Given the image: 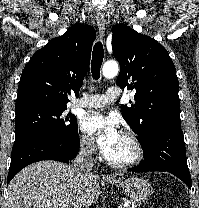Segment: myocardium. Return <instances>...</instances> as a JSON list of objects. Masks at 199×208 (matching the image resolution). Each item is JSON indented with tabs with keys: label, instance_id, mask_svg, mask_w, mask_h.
<instances>
[{
	"label": "myocardium",
	"instance_id": "f54148a6",
	"mask_svg": "<svg viewBox=\"0 0 199 208\" xmlns=\"http://www.w3.org/2000/svg\"><path fill=\"white\" fill-rule=\"evenodd\" d=\"M123 136L127 138V140L134 146L135 155L132 159L125 160V161H118L109 158L108 156L104 155L105 162L115 168L126 169L131 168L138 165L144 158L145 150L141 140L138 136L132 131H125Z\"/></svg>",
	"mask_w": 199,
	"mask_h": 208
}]
</instances>
